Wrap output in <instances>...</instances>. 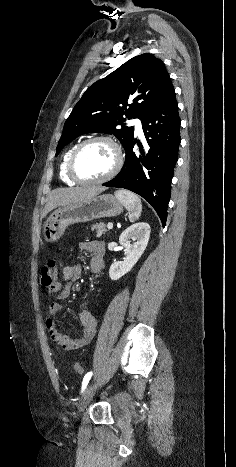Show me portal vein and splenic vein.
<instances>
[{
    "mask_svg": "<svg viewBox=\"0 0 236 467\" xmlns=\"http://www.w3.org/2000/svg\"><path fill=\"white\" fill-rule=\"evenodd\" d=\"M107 228H108L109 230L112 229V228H113V224H112L111 222H109V223L107 224Z\"/></svg>",
    "mask_w": 236,
    "mask_h": 467,
    "instance_id": "portal-vein-and-splenic-vein-1",
    "label": "portal vein and splenic vein"
}]
</instances>
